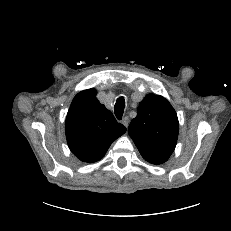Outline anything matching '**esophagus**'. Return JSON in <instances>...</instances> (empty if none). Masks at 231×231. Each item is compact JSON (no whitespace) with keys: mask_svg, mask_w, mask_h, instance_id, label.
<instances>
[{"mask_svg":"<svg viewBox=\"0 0 231 231\" xmlns=\"http://www.w3.org/2000/svg\"><path fill=\"white\" fill-rule=\"evenodd\" d=\"M122 124L127 128L128 124H129V118L128 117H124L122 120Z\"/></svg>","mask_w":231,"mask_h":231,"instance_id":"34e87169","label":"esophagus"}]
</instances>
